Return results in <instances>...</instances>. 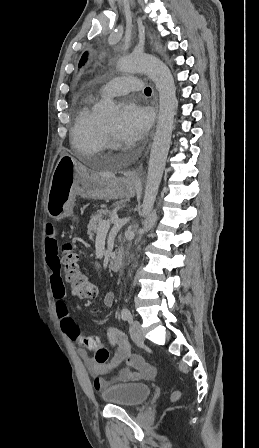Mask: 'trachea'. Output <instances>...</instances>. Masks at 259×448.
I'll list each match as a JSON object with an SVG mask.
<instances>
[{"instance_id":"trachea-1","label":"trachea","mask_w":259,"mask_h":448,"mask_svg":"<svg viewBox=\"0 0 259 448\" xmlns=\"http://www.w3.org/2000/svg\"><path fill=\"white\" fill-rule=\"evenodd\" d=\"M144 93H152L151 88H149V87L145 88Z\"/></svg>"}]
</instances>
